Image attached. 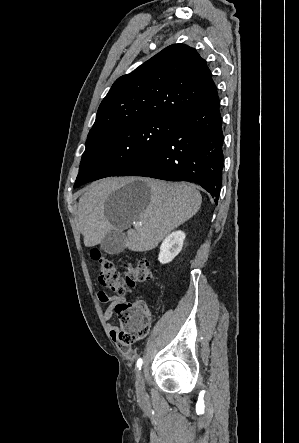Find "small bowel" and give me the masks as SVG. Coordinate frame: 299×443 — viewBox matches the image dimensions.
Masks as SVG:
<instances>
[{
	"label": "small bowel",
	"mask_w": 299,
	"mask_h": 443,
	"mask_svg": "<svg viewBox=\"0 0 299 443\" xmlns=\"http://www.w3.org/2000/svg\"><path fill=\"white\" fill-rule=\"evenodd\" d=\"M97 298L100 302L107 304L104 311V318L106 321H110L114 317L116 305L125 302L126 300V296H110L103 291L97 293ZM108 328L111 338L116 340L118 328L112 323L108 324Z\"/></svg>",
	"instance_id": "obj_1"
}]
</instances>
